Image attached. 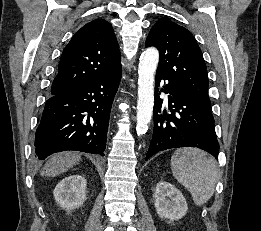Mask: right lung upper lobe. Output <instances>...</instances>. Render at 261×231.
I'll return each instance as SVG.
<instances>
[{"label":"right lung upper lobe","instance_id":"right-lung-upper-lobe-1","mask_svg":"<svg viewBox=\"0 0 261 231\" xmlns=\"http://www.w3.org/2000/svg\"><path fill=\"white\" fill-rule=\"evenodd\" d=\"M120 65L112 25L103 19L93 20L76 32L64 48L51 96L79 88Z\"/></svg>","mask_w":261,"mask_h":231}]
</instances>
